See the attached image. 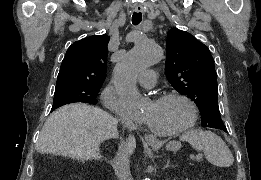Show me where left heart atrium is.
<instances>
[{
  "mask_svg": "<svg viewBox=\"0 0 261 180\" xmlns=\"http://www.w3.org/2000/svg\"><path fill=\"white\" fill-rule=\"evenodd\" d=\"M137 118H139L141 120V117L139 115L136 116Z\"/></svg>",
  "mask_w": 261,
  "mask_h": 180,
  "instance_id": "1",
  "label": "left heart atrium"
}]
</instances>
